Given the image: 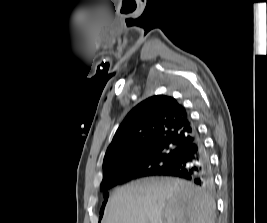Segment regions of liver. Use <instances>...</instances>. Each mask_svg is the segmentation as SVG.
Segmentation results:
<instances>
[{
	"label": "liver",
	"mask_w": 267,
	"mask_h": 223,
	"mask_svg": "<svg viewBox=\"0 0 267 223\" xmlns=\"http://www.w3.org/2000/svg\"><path fill=\"white\" fill-rule=\"evenodd\" d=\"M102 223H215V202L174 178H145L117 188Z\"/></svg>",
	"instance_id": "6515ba94"
}]
</instances>
